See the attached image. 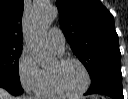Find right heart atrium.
<instances>
[{
	"label": "right heart atrium",
	"mask_w": 128,
	"mask_h": 99,
	"mask_svg": "<svg viewBox=\"0 0 128 99\" xmlns=\"http://www.w3.org/2000/svg\"><path fill=\"white\" fill-rule=\"evenodd\" d=\"M18 77L22 87L29 92H37L43 84L44 71L28 51H23L19 57Z\"/></svg>",
	"instance_id": "right-heart-atrium-1"
}]
</instances>
